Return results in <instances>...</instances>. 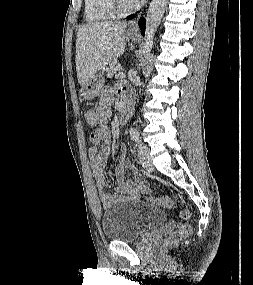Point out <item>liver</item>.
Here are the masks:
<instances>
[{"instance_id": "liver-1", "label": "liver", "mask_w": 253, "mask_h": 285, "mask_svg": "<svg viewBox=\"0 0 253 285\" xmlns=\"http://www.w3.org/2000/svg\"><path fill=\"white\" fill-rule=\"evenodd\" d=\"M126 28V22H98L78 29L76 71L81 86L124 53Z\"/></svg>"}]
</instances>
